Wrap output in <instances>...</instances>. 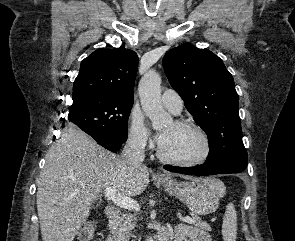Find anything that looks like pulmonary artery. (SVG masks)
Listing matches in <instances>:
<instances>
[{"instance_id":"obj_1","label":"pulmonary artery","mask_w":295,"mask_h":241,"mask_svg":"<svg viewBox=\"0 0 295 241\" xmlns=\"http://www.w3.org/2000/svg\"><path fill=\"white\" fill-rule=\"evenodd\" d=\"M161 102L173 114H179L183 108V101L180 95L171 89L165 90L162 93Z\"/></svg>"}]
</instances>
